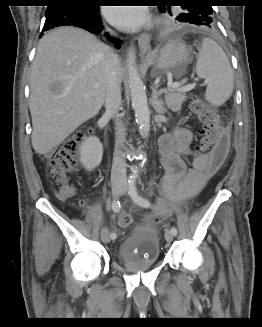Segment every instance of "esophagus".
<instances>
[{"instance_id": "esophagus-1", "label": "esophagus", "mask_w": 262, "mask_h": 327, "mask_svg": "<svg viewBox=\"0 0 262 327\" xmlns=\"http://www.w3.org/2000/svg\"><path fill=\"white\" fill-rule=\"evenodd\" d=\"M150 42H151V37L148 34H142L139 37L138 44L142 56H150L152 54Z\"/></svg>"}]
</instances>
